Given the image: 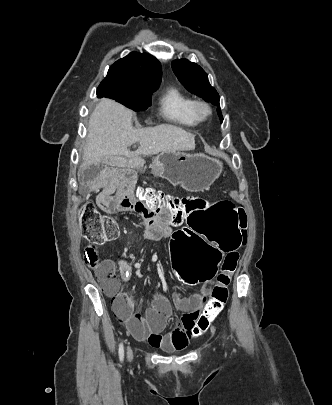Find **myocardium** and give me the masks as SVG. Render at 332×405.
<instances>
[{"label":"myocardium","mask_w":332,"mask_h":405,"mask_svg":"<svg viewBox=\"0 0 332 405\" xmlns=\"http://www.w3.org/2000/svg\"><path fill=\"white\" fill-rule=\"evenodd\" d=\"M194 113L199 120H205L211 115V107L204 100H196L194 103Z\"/></svg>","instance_id":"obj_1"}]
</instances>
